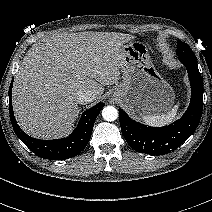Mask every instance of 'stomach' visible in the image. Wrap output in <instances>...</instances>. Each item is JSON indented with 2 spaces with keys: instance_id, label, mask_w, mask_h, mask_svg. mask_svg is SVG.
<instances>
[{
  "instance_id": "1",
  "label": "stomach",
  "mask_w": 212,
  "mask_h": 212,
  "mask_svg": "<svg viewBox=\"0 0 212 212\" xmlns=\"http://www.w3.org/2000/svg\"><path fill=\"white\" fill-rule=\"evenodd\" d=\"M119 52L121 81L111 91L112 97L135 116L166 114L174 92L156 70L146 45L129 42Z\"/></svg>"
}]
</instances>
